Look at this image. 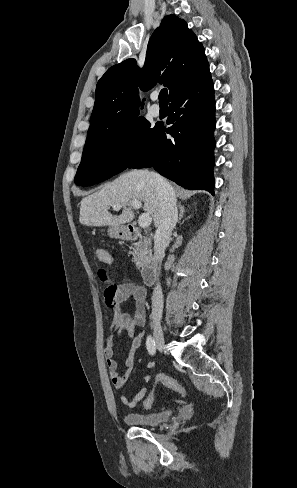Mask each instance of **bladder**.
Segmentation results:
<instances>
[{
    "label": "bladder",
    "mask_w": 297,
    "mask_h": 488,
    "mask_svg": "<svg viewBox=\"0 0 297 488\" xmlns=\"http://www.w3.org/2000/svg\"><path fill=\"white\" fill-rule=\"evenodd\" d=\"M172 415L170 410L157 413H127L124 421L130 426L135 427H155L166 422Z\"/></svg>",
    "instance_id": "1"
}]
</instances>
